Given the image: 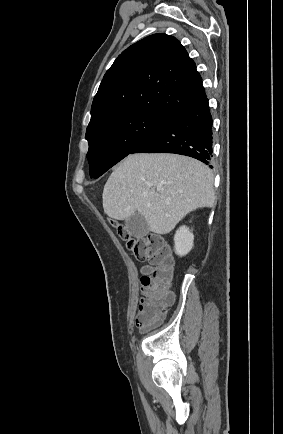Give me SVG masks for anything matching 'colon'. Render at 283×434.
Returning a JSON list of instances; mask_svg holds the SVG:
<instances>
[{"label": "colon", "instance_id": "obj_1", "mask_svg": "<svg viewBox=\"0 0 283 434\" xmlns=\"http://www.w3.org/2000/svg\"><path fill=\"white\" fill-rule=\"evenodd\" d=\"M120 237L140 262L152 265L151 271L141 277L142 297L138 306L136 324L142 330L157 325L165 309L173 300L169 291L173 276V259L164 242L153 235L132 237L124 228L115 224Z\"/></svg>", "mask_w": 283, "mask_h": 434}]
</instances>
